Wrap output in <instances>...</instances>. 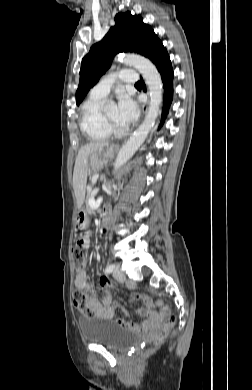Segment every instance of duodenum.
Instances as JSON below:
<instances>
[{"instance_id": "410a0bca", "label": "duodenum", "mask_w": 252, "mask_h": 390, "mask_svg": "<svg viewBox=\"0 0 252 390\" xmlns=\"http://www.w3.org/2000/svg\"><path fill=\"white\" fill-rule=\"evenodd\" d=\"M101 219H102V232L100 233V236L103 237L109 228V209L107 207L103 208L101 213Z\"/></svg>"}]
</instances>
